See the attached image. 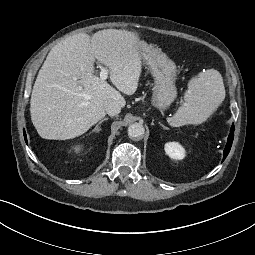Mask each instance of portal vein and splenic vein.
Instances as JSON below:
<instances>
[{"mask_svg":"<svg viewBox=\"0 0 255 255\" xmlns=\"http://www.w3.org/2000/svg\"><path fill=\"white\" fill-rule=\"evenodd\" d=\"M100 69H101L100 79L101 80H106L107 77H108L109 71L105 67H103V66H100Z\"/></svg>","mask_w":255,"mask_h":255,"instance_id":"obj_1","label":"portal vein and splenic vein"}]
</instances>
